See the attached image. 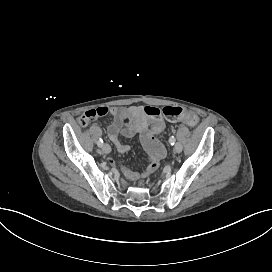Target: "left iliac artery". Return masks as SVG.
Wrapping results in <instances>:
<instances>
[{
  "label": "left iliac artery",
  "instance_id": "obj_1",
  "mask_svg": "<svg viewBox=\"0 0 272 272\" xmlns=\"http://www.w3.org/2000/svg\"><path fill=\"white\" fill-rule=\"evenodd\" d=\"M175 142H176V140H175L174 136H171V137L169 138V143H170L171 145H174Z\"/></svg>",
  "mask_w": 272,
  "mask_h": 272
}]
</instances>
